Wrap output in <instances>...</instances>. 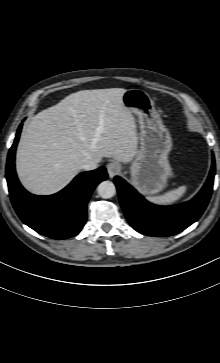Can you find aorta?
I'll list each match as a JSON object with an SVG mask.
<instances>
[{
    "mask_svg": "<svg viewBox=\"0 0 220 363\" xmlns=\"http://www.w3.org/2000/svg\"><path fill=\"white\" fill-rule=\"evenodd\" d=\"M97 191L100 197L109 199L116 194V187L113 182L105 180L98 185Z\"/></svg>",
    "mask_w": 220,
    "mask_h": 363,
    "instance_id": "762f6f07",
    "label": "aorta"
}]
</instances>
